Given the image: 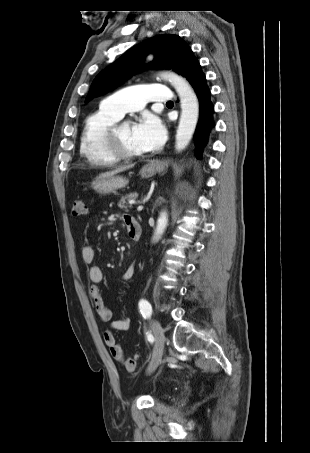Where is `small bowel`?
Here are the masks:
<instances>
[{
    "instance_id": "c3829d8e",
    "label": "small bowel",
    "mask_w": 310,
    "mask_h": 453,
    "mask_svg": "<svg viewBox=\"0 0 310 453\" xmlns=\"http://www.w3.org/2000/svg\"><path fill=\"white\" fill-rule=\"evenodd\" d=\"M122 220L126 226V228L133 222H137L136 219L129 215V214H123L122 215ZM94 249L90 245H84L81 248V259L84 264H91L94 259ZM135 274V267L134 265H130L120 276V281L125 282L129 281L130 279L133 278ZM88 279L91 282V286L89 288V296L93 302V305L95 307V310L99 316V318L103 322H110V327L112 330L116 331H127L130 328L131 325V319L129 316L124 315L123 317L112 320L113 318V312L112 310L105 304L104 299L102 297L100 288L98 286L99 283L102 282L103 280V272L101 268L98 266H90L88 269ZM104 341L106 345L108 346L111 355L113 358L117 361H123L124 360V351L121 347V345L117 342V339L114 335V333L111 330H107L104 332Z\"/></svg>"
}]
</instances>
